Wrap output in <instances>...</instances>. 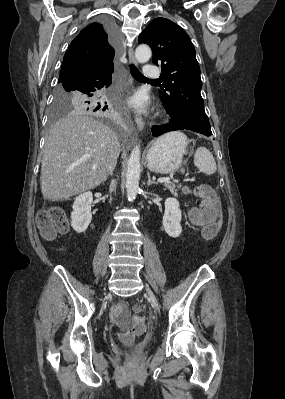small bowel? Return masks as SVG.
I'll list each match as a JSON object with an SVG mask.
<instances>
[{
  "mask_svg": "<svg viewBox=\"0 0 285 399\" xmlns=\"http://www.w3.org/2000/svg\"><path fill=\"white\" fill-rule=\"evenodd\" d=\"M210 201L217 205V201L214 198H212ZM190 217L194 224H196L198 226H206L210 222H212L214 216L211 212H209L205 209H202V210L192 211ZM122 309H123L122 304H116L111 309V319L113 320V322H115V323L117 322V320L119 319V317L121 315Z\"/></svg>",
  "mask_w": 285,
  "mask_h": 399,
  "instance_id": "1",
  "label": "small bowel"
}]
</instances>
